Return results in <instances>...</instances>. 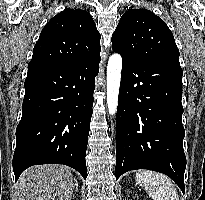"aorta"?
Here are the masks:
<instances>
[{
	"mask_svg": "<svg viewBox=\"0 0 205 200\" xmlns=\"http://www.w3.org/2000/svg\"><path fill=\"white\" fill-rule=\"evenodd\" d=\"M122 57L118 53L110 56L107 65V106L110 115H115L121 81Z\"/></svg>",
	"mask_w": 205,
	"mask_h": 200,
	"instance_id": "obj_1",
	"label": "aorta"
}]
</instances>
